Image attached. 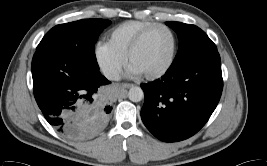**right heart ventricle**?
Listing matches in <instances>:
<instances>
[{
    "mask_svg": "<svg viewBox=\"0 0 267 166\" xmlns=\"http://www.w3.org/2000/svg\"><path fill=\"white\" fill-rule=\"evenodd\" d=\"M150 21H129L115 28L109 39V45L121 55H126L134 41L146 30L155 26Z\"/></svg>",
    "mask_w": 267,
    "mask_h": 166,
    "instance_id": "1",
    "label": "right heart ventricle"
}]
</instances>
